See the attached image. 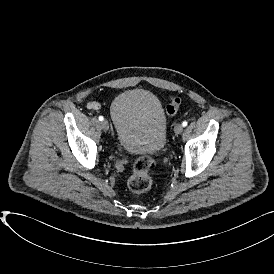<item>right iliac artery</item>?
Returning <instances> with one entry per match:
<instances>
[{"label":"right iliac artery","mask_w":274,"mask_h":274,"mask_svg":"<svg viewBox=\"0 0 274 274\" xmlns=\"http://www.w3.org/2000/svg\"><path fill=\"white\" fill-rule=\"evenodd\" d=\"M103 119H104L103 116H99L100 121H103Z\"/></svg>","instance_id":"82829eb1"}]
</instances>
